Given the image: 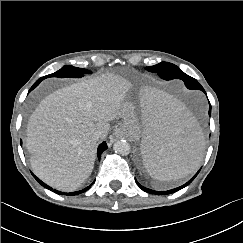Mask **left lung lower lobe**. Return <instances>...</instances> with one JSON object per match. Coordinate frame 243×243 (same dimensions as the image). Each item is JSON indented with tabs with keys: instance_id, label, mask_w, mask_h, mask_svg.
<instances>
[{
	"instance_id": "obj_1",
	"label": "left lung lower lobe",
	"mask_w": 243,
	"mask_h": 243,
	"mask_svg": "<svg viewBox=\"0 0 243 243\" xmlns=\"http://www.w3.org/2000/svg\"><path fill=\"white\" fill-rule=\"evenodd\" d=\"M185 85H186V87H187L188 89H199V90H202V91L205 93L203 87H202L199 83H198V84H190V83H186ZM209 115H211V105H210V108H209ZM199 171H200V170H199ZM199 171H198V172L195 174V176H194L192 179H190L186 184H184V185H182V186H180V187H178V188H174V189L168 190V191H154V190H150V189H148V188L143 187V186L140 185L137 181H136V183H137V185H138L143 191H145V192H147V193H150V194H163V195H165V194H171V193L177 192L178 190H180V189L186 187L187 185H189V184L194 180V178L197 176V174L199 173Z\"/></svg>"
}]
</instances>
